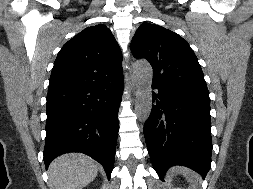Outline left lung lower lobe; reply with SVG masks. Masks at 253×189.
<instances>
[{"label":"left lung lower lobe","instance_id":"1","mask_svg":"<svg viewBox=\"0 0 253 189\" xmlns=\"http://www.w3.org/2000/svg\"><path fill=\"white\" fill-rule=\"evenodd\" d=\"M152 110L144 134L153 167L187 166L203 178L211 167L210 102L152 84ZM154 103V104H153Z\"/></svg>","mask_w":253,"mask_h":189}]
</instances>
